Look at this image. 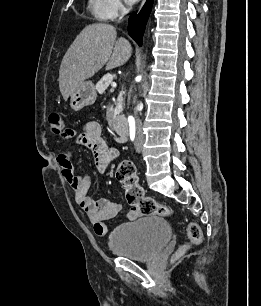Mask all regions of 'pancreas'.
Here are the masks:
<instances>
[{
	"instance_id": "pancreas-1",
	"label": "pancreas",
	"mask_w": 261,
	"mask_h": 306,
	"mask_svg": "<svg viewBox=\"0 0 261 306\" xmlns=\"http://www.w3.org/2000/svg\"><path fill=\"white\" fill-rule=\"evenodd\" d=\"M114 76L112 74H106L104 75L96 84V89L99 93H104L107 87L112 83ZM113 91V88L111 89ZM121 101H122V96H119L118 99V108L117 111L118 113L121 112Z\"/></svg>"
}]
</instances>
